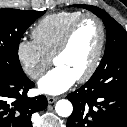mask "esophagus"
Masks as SVG:
<instances>
[{"mask_svg": "<svg viewBox=\"0 0 127 127\" xmlns=\"http://www.w3.org/2000/svg\"><path fill=\"white\" fill-rule=\"evenodd\" d=\"M47 100H48V103L49 104H52V103H54V102H56L57 100H58V98L57 97H48L47 98Z\"/></svg>", "mask_w": 127, "mask_h": 127, "instance_id": "esophagus-1", "label": "esophagus"}]
</instances>
